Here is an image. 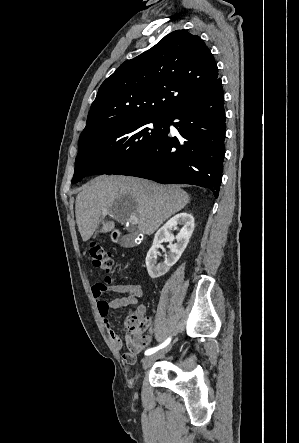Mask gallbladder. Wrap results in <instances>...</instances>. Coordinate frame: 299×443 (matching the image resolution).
Here are the masks:
<instances>
[{
  "instance_id": "gallbladder-1",
  "label": "gallbladder",
  "mask_w": 299,
  "mask_h": 443,
  "mask_svg": "<svg viewBox=\"0 0 299 443\" xmlns=\"http://www.w3.org/2000/svg\"><path fill=\"white\" fill-rule=\"evenodd\" d=\"M131 240H132L131 235H125L120 239V244L122 246H128L130 244Z\"/></svg>"
}]
</instances>
